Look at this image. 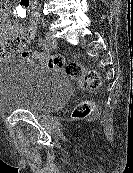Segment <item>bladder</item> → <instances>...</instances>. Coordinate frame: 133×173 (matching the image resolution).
Wrapping results in <instances>:
<instances>
[{"label": "bladder", "mask_w": 133, "mask_h": 173, "mask_svg": "<svg viewBox=\"0 0 133 173\" xmlns=\"http://www.w3.org/2000/svg\"><path fill=\"white\" fill-rule=\"evenodd\" d=\"M70 95V82L59 72L22 58L0 64V112L45 114L59 108Z\"/></svg>", "instance_id": "31cf9c89"}]
</instances>
